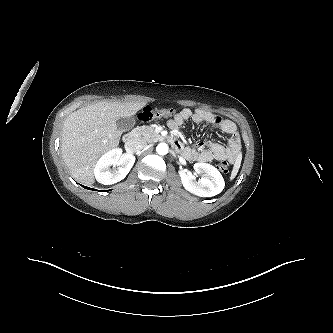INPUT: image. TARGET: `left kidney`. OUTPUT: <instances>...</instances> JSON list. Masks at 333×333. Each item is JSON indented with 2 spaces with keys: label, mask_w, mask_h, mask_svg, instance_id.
Here are the masks:
<instances>
[{
  "label": "left kidney",
  "mask_w": 333,
  "mask_h": 333,
  "mask_svg": "<svg viewBox=\"0 0 333 333\" xmlns=\"http://www.w3.org/2000/svg\"><path fill=\"white\" fill-rule=\"evenodd\" d=\"M194 170L196 174L204 173L205 177L196 181L195 174L179 172L182 184L187 191L200 197H212L222 192L225 182L217 168L200 162L194 164Z\"/></svg>",
  "instance_id": "obj_1"
}]
</instances>
